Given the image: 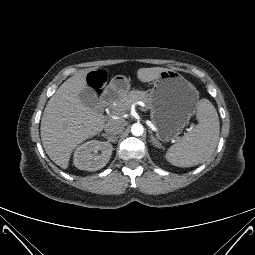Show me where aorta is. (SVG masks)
Listing matches in <instances>:
<instances>
[{
	"label": "aorta",
	"instance_id": "aorta-1",
	"mask_svg": "<svg viewBox=\"0 0 255 255\" xmlns=\"http://www.w3.org/2000/svg\"><path fill=\"white\" fill-rule=\"evenodd\" d=\"M143 132H144V127L140 123H134L131 126V133L134 136L139 137L143 134Z\"/></svg>",
	"mask_w": 255,
	"mask_h": 255
}]
</instances>
